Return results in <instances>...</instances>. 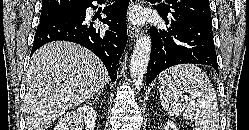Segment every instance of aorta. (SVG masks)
Masks as SVG:
<instances>
[{"label":"aorta","mask_w":249,"mask_h":130,"mask_svg":"<svg viewBox=\"0 0 249 130\" xmlns=\"http://www.w3.org/2000/svg\"><path fill=\"white\" fill-rule=\"evenodd\" d=\"M150 54L151 38L148 35H141L135 43L130 61V76L137 90L142 87Z\"/></svg>","instance_id":"obj_1"}]
</instances>
